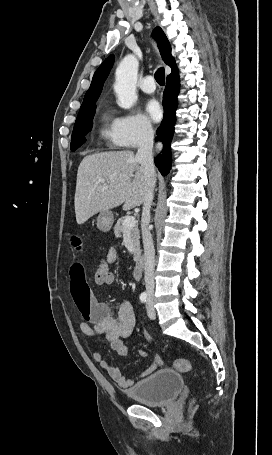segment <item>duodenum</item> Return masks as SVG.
Wrapping results in <instances>:
<instances>
[{
  "mask_svg": "<svg viewBox=\"0 0 272 455\" xmlns=\"http://www.w3.org/2000/svg\"><path fill=\"white\" fill-rule=\"evenodd\" d=\"M144 259L142 255L136 257L135 267L133 270V276L135 279H140L143 273Z\"/></svg>",
  "mask_w": 272,
  "mask_h": 455,
  "instance_id": "410a0bca",
  "label": "duodenum"
}]
</instances>
